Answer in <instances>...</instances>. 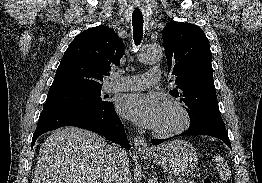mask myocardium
<instances>
[{"instance_id":"obj_1","label":"myocardium","mask_w":262,"mask_h":183,"mask_svg":"<svg viewBox=\"0 0 262 183\" xmlns=\"http://www.w3.org/2000/svg\"><path fill=\"white\" fill-rule=\"evenodd\" d=\"M163 106H171V107L176 108L181 115V123L177 128L171 131L159 132V131L153 130L152 134L155 137L160 138V139H168V138H172L184 132L190 125V115H189L187 108L181 102L177 100H173V99L166 100L163 103Z\"/></svg>"}]
</instances>
